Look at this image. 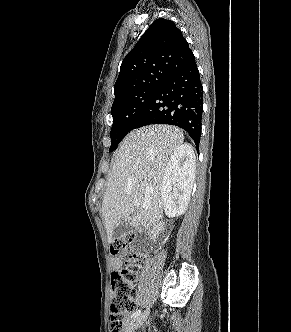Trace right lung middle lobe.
<instances>
[{
  "label": "right lung middle lobe",
  "mask_w": 291,
  "mask_h": 332,
  "mask_svg": "<svg viewBox=\"0 0 291 332\" xmlns=\"http://www.w3.org/2000/svg\"><path fill=\"white\" fill-rule=\"evenodd\" d=\"M161 81L153 82L147 88L131 92L115 100L111 114L113 126L110 132V152L116 149L122 139L133 130L137 117L155 94Z\"/></svg>",
  "instance_id": "obj_1"
}]
</instances>
